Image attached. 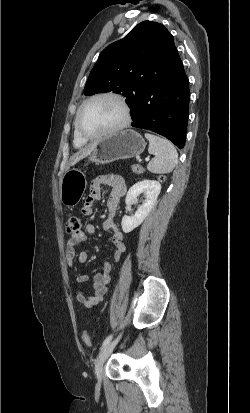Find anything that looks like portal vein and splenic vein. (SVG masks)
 Returning <instances> with one entry per match:
<instances>
[{"label":"portal vein and splenic vein","mask_w":250,"mask_h":413,"mask_svg":"<svg viewBox=\"0 0 250 413\" xmlns=\"http://www.w3.org/2000/svg\"><path fill=\"white\" fill-rule=\"evenodd\" d=\"M145 160H146V161H149L150 159H149V158H146Z\"/></svg>","instance_id":"18ae733b"}]
</instances>
